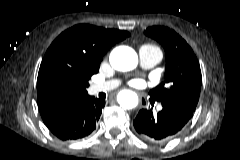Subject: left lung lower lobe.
<instances>
[{
	"label": "left lung lower lobe",
	"mask_w": 240,
	"mask_h": 160,
	"mask_svg": "<svg viewBox=\"0 0 240 160\" xmlns=\"http://www.w3.org/2000/svg\"><path fill=\"white\" fill-rule=\"evenodd\" d=\"M163 109L153 114L152 109H142L133 121L136 133L144 140L162 143L173 138L192 118V111L178 105L162 103Z\"/></svg>",
	"instance_id": "0a47b994"
}]
</instances>
